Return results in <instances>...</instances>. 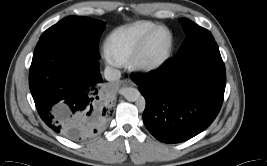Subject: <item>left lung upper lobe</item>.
I'll return each instance as SVG.
<instances>
[{
    "mask_svg": "<svg viewBox=\"0 0 267 166\" xmlns=\"http://www.w3.org/2000/svg\"><path fill=\"white\" fill-rule=\"evenodd\" d=\"M180 21L185 29L186 38L179 49L177 56L187 53L193 47L202 42L214 41L212 34L207 29L200 27L186 18H181Z\"/></svg>",
    "mask_w": 267,
    "mask_h": 166,
    "instance_id": "5c2ea615",
    "label": "left lung upper lobe"
}]
</instances>
